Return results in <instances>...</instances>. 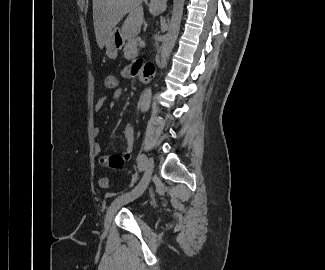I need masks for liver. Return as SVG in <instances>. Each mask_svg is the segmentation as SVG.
<instances>
[{
  "label": "liver",
  "mask_w": 325,
  "mask_h": 270,
  "mask_svg": "<svg viewBox=\"0 0 325 270\" xmlns=\"http://www.w3.org/2000/svg\"><path fill=\"white\" fill-rule=\"evenodd\" d=\"M143 0H93V22L96 41L100 49L112 35L121 19L126 18L122 32L127 39L138 35L144 22Z\"/></svg>",
  "instance_id": "liver-1"
}]
</instances>
